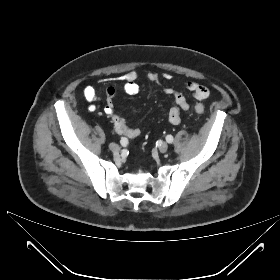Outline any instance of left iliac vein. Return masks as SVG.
I'll return each instance as SVG.
<instances>
[{
  "mask_svg": "<svg viewBox=\"0 0 280 280\" xmlns=\"http://www.w3.org/2000/svg\"><path fill=\"white\" fill-rule=\"evenodd\" d=\"M159 151L161 153H165L168 150V144L166 142H162L159 147H158Z\"/></svg>",
  "mask_w": 280,
  "mask_h": 280,
  "instance_id": "left-iliac-vein-1",
  "label": "left iliac vein"
}]
</instances>
